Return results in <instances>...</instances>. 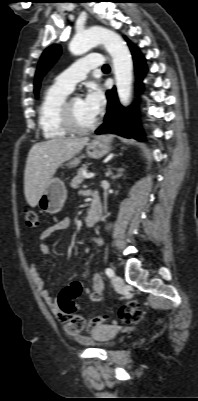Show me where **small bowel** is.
Segmentation results:
<instances>
[{"instance_id": "obj_1", "label": "small bowel", "mask_w": 198, "mask_h": 401, "mask_svg": "<svg viewBox=\"0 0 198 401\" xmlns=\"http://www.w3.org/2000/svg\"><path fill=\"white\" fill-rule=\"evenodd\" d=\"M70 222L69 219L63 218L55 222L53 225L48 227L41 235V244H40V250L44 255H47L49 253V246L46 243L47 238H49L51 235L64 231L69 228ZM97 243L99 245L102 244V239L98 238ZM89 252V250H86ZM31 274L32 277L35 281V284L38 288V290L41 293L42 298L45 300V302L48 304L50 307L51 311L54 313L56 318L64 324V329L65 332L73 337H76L82 341L85 340V334L88 335H96L97 332L104 327V325H99L93 321H90L87 325L84 327H80L78 324V315H69L65 312H63L59 304L54 300L52 297L51 293L45 288L44 281L37 269V266L35 263L31 264ZM76 290H75V296H74V303L76 304L77 308L78 305L75 302V299L81 294L84 293L87 295L88 300L90 302H100L103 298V290H104V285H103V280L100 276V274L95 273L92 277V282H91V287L86 288L81 285V283L76 282Z\"/></svg>"}]
</instances>
